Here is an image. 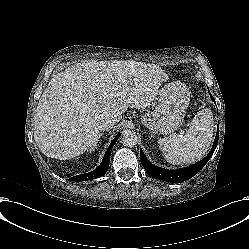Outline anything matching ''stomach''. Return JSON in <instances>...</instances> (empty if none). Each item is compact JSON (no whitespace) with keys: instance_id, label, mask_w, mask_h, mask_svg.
Masks as SVG:
<instances>
[{"instance_id":"stomach-1","label":"stomach","mask_w":249,"mask_h":249,"mask_svg":"<svg viewBox=\"0 0 249 249\" xmlns=\"http://www.w3.org/2000/svg\"><path fill=\"white\" fill-rule=\"evenodd\" d=\"M190 102V92L182 83H170L159 90L158 104L152 112L141 115V123L153 134H169L183 121Z\"/></svg>"}]
</instances>
